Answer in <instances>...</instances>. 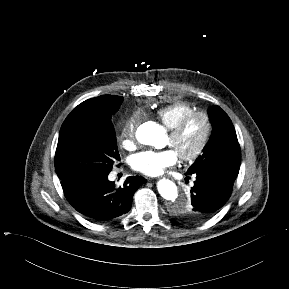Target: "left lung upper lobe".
Masks as SVG:
<instances>
[{
	"instance_id": "1",
	"label": "left lung upper lobe",
	"mask_w": 289,
	"mask_h": 289,
	"mask_svg": "<svg viewBox=\"0 0 289 289\" xmlns=\"http://www.w3.org/2000/svg\"><path fill=\"white\" fill-rule=\"evenodd\" d=\"M209 117L213 125V131L207 145L203 149L194 164L187 173L193 174L200 171L217 169L238 175L241 151L234 126L228 115L217 105L208 109ZM175 206L173 214L185 220L190 219V211L187 208Z\"/></svg>"
}]
</instances>
